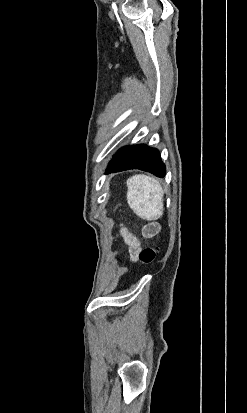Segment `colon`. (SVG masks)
Instances as JSON below:
<instances>
[{
    "label": "colon",
    "mask_w": 247,
    "mask_h": 413,
    "mask_svg": "<svg viewBox=\"0 0 247 413\" xmlns=\"http://www.w3.org/2000/svg\"><path fill=\"white\" fill-rule=\"evenodd\" d=\"M159 248H144L141 249V256L138 257L139 261L143 263V267L141 268L144 270L145 268L152 267L153 262L156 259L157 255L159 254Z\"/></svg>",
    "instance_id": "1"
}]
</instances>
